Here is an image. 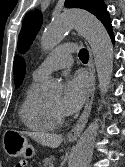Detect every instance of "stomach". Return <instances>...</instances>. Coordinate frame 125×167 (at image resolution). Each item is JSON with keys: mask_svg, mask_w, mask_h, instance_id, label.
<instances>
[{"mask_svg": "<svg viewBox=\"0 0 125 167\" xmlns=\"http://www.w3.org/2000/svg\"><path fill=\"white\" fill-rule=\"evenodd\" d=\"M6 134L8 138L4 142V150L8 155L23 159H29L35 155V149L27 136L17 131H8Z\"/></svg>", "mask_w": 125, "mask_h": 167, "instance_id": "obj_1", "label": "stomach"}]
</instances>
